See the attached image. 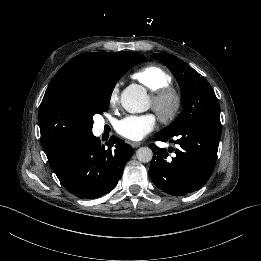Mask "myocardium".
<instances>
[{
    "mask_svg": "<svg viewBox=\"0 0 261 261\" xmlns=\"http://www.w3.org/2000/svg\"><path fill=\"white\" fill-rule=\"evenodd\" d=\"M151 107L161 122L170 123L181 110V93L171 85L164 86L152 94Z\"/></svg>",
    "mask_w": 261,
    "mask_h": 261,
    "instance_id": "obj_1",
    "label": "myocardium"
}]
</instances>
